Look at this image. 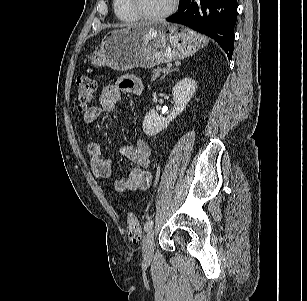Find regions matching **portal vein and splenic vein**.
Wrapping results in <instances>:
<instances>
[{"label": "portal vein and splenic vein", "mask_w": 307, "mask_h": 301, "mask_svg": "<svg viewBox=\"0 0 307 301\" xmlns=\"http://www.w3.org/2000/svg\"><path fill=\"white\" fill-rule=\"evenodd\" d=\"M171 67H172L171 63L167 64V68H171Z\"/></svg>", "instance_id": "18ae733b"}]
</instances>
